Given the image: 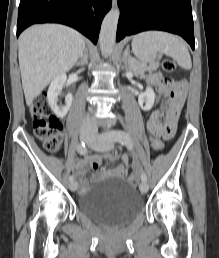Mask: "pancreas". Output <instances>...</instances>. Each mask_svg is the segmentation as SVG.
I'll return each mask as SVG.
<instances>
[{"mask_svg":"<svg viewBox=\"0 0 219 258\" xmlns=\"http://www.w3.org/2000/svg\"><path fill=\"white\" fill-rule=\"evenodd\" d=\"M130 70H132L135 74H144L145 71H155L158 69L159 64L157 62L151 63L150 65H146L138 62L136 59H131L129 62Z\"/></svg>","mask_w":219,"mask_h":258,"instance_id":"pancreas-1","label":"pancreas"}]
</instances>
